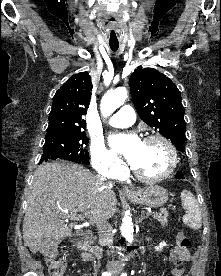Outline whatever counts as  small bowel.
<instances>
[{"instance_id": "obj_1", "label": "small bowel", "mask_w": 221, "mask_h": 276, "mask_svg": "<svg viewBox=\"0 0 221 276\" xmlns=\"http://www.w3.org/2000/svg\"><path fill=\"white\" fill-rule=\"evenodd\" d=\"M82 259L84 261L91 260V258L85 253L82 254ZM169 259L175 265V267L172 270V275L183 276L184 268L182 264L190 259L189 251L186 249L175 247L174 249L171 250Z\"/></svg>"}]
</instances>
